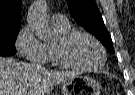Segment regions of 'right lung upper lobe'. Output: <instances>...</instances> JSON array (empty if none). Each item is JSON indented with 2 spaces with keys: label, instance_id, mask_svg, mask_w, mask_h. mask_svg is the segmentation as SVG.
Returning a JSON list of instances; mask_svg holds the SVG:
<instances>
[{
  "label": "right lung upper lobe",
  "instance_id": "cb5924a9",
  "mask_svg": "<svg viewBox=\"0 0 135 95\" xmlns=\"http://www.w3.org/2000/svg\"><path fill=\"white\" fill-rule=\"evenodd\" d=\"M21 25V0H0V33L17 31Z\"/></svg>",
  "mask_w": 135,
  "mask_h": 95
}]
</instances>
